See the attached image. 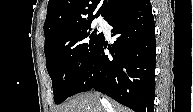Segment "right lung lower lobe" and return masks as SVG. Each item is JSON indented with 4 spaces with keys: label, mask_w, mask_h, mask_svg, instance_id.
<instances>
[{
    "label": "right lung lower lobe",
    "mask_w": 193,
    "mask_h": 112,
    "mask_svg": "<svg viewBox=\"0 0 193 112\" xmlns=\"http://www.w3.org/2000/svg\"><path fill=\"white\" fill-rule=\"evenodd\" d=\"M117 40L112 58L103 39L70 96L95 89L135 112H153L155 95V24L149 0H135L112 17Z\"/></svg>",
    "instance_id": "obj_1"
}]
</instances>
